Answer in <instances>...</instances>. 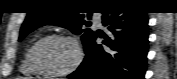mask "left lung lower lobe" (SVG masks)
I'll return each instance as SVG.
<instances>
[{
  "label": "left lung lower lobe",
  "mask_w": 177,
  "mask_h": 79,
  "mask_svg": "<svg viewBox=\"0 0 177 79\" xmlns=\"http://www.w3.org/2000/svg\"><path fill=\"white\" fill-rule=\"evenodd\" d=\"M102 23L109 32L96 34L85 50L86 56L71 79H144L148 52V18L145 12L103 9Z\"/></svg>",
  "instance_id": "left-lung-lower-lobe-1"
}]
</instances>
